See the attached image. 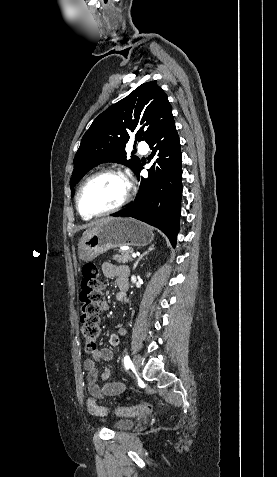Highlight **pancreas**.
Wrapping results in <instances>:
<instances>
[{
    "label": "pancreas",
    "mask_w": 277,
    "mask_h": 477,
    "mask_svg": "<svg viewBox=\"0 0 277 477\" xmlns=\"http://www.w3.org/2000/svg\"><path fill=\"white\" fill-rule=\"evenodd\" d=\"M131 253V250L120 251L119 254L114 255L112 259L119 263L130 262L133 260Z\"/></svg>",
    "instance_id": "obj_1"
}]
</instances>
